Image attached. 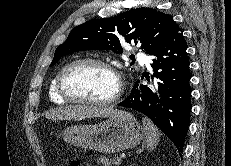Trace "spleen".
Wrapping results in <instances>:
<instances>
[{
  "instance_id": "3e777b00",
  "label": "spleen",
  "mask_w": 231,
  "mask_h": 166,
  "mask_svg": "<svg viewBox=\"0 0 231 166\" xmlns=\"http://www.w3.org/2000/svg\"><path fill=\"white\" fill-rule=\"evenodd\" d=\"M142 122L146 135L147 149L153 150L158 145L160 133L148 118H143Z\"/></svg>"
}]
</instances>
